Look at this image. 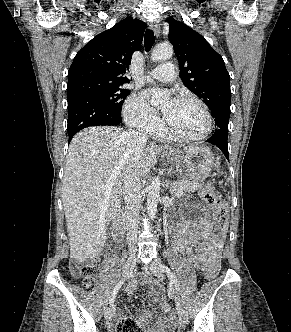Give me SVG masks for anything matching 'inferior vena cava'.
I'll return each instance as SVG.
<instances>
[{"instance_id": "obj_1", "label": "inferior vena cava", "mask_w": 291, "mask_h": 332, "mask_svg": "<svg viewBox=\"0 0 291 332\" xmlns=\"http://www.w3.org/2000/svg\"><path fill=\"white\" fill-rule=\"evenodd\" d=\"M129 138L135 149L130 150V167L126 170L123 178L124 188L123 197L125 201L126 230L129 251L135 252L136 239L139 226V207L141 202V181L137 175L135 165L137 160V151L147 143V135L140 131L130 130Z\"/></svg>"}]
</instances>
